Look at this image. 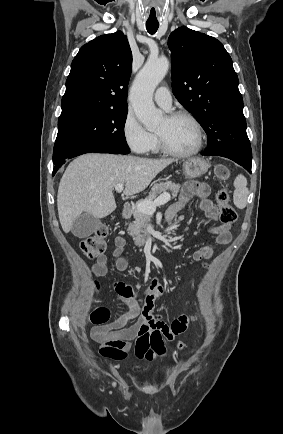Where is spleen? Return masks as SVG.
<instances>
[{
    "mask_svg": "<svg viewBox=\"0 0 283 434\" xmlns=\"http://www.w3.org/2000/svg\"><path fill=\"white\" fill-rule=\"evenodd\" d=\"M234 195L233 201L237 208L243 209L247 204L248 197V188H247V180L243 175H238L234 180Z\"/></svg>",
    "mask_w": 283,
    "mask_h": 434,
    "instance_id": "1",
    "label": "spleen"
}]
</instances>
